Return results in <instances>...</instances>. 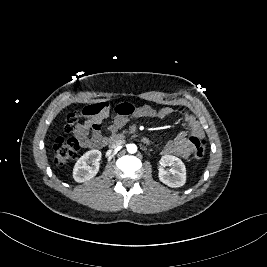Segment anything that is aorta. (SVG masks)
I'll return each mask as SVG.
<instances>
[{
  "instance_id": "1",
  "label": "aorta",
  "mask_w": 267,
  "mask_h": 267,
  "mask_svg": "<svg viewBox=\"0 0 267 267\" xmlns=\"http://www.w3.org/2000/svg\"><path fill=\"white\" fill-rule=\"evenodd\" d=\"M127 151L130 153V154H134L137 152V146L135 144H128L127 145Z\"/></svg>"
}]
</instances>
